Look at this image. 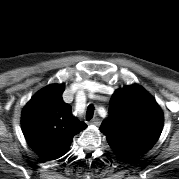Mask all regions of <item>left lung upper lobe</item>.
<instances>
[{"instance_id":"5c2ea615","label":"left lung upper lobe","mask_w":179,"mask_h":179,"mask_svg":"<svg viewBox=\"0 0 179 179\" xmlns=\"http://www.w3.org/2000/svg\"><path fill=\"white\" fill-rule=\"evenodd\" d=\"M110 114L101 130L111 145L121 142L151 147L162 131L163 118L157 106L135 88L116 93Z\"/></svg>"}]
</instances>
